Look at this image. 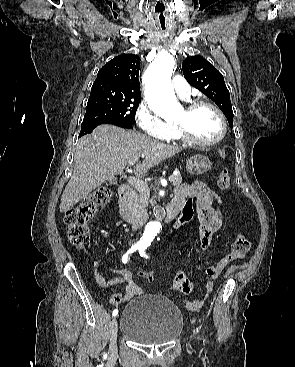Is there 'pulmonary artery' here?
<instances>
[{"instance_id":"e3ab8cb5","label":"pulmonary artery","mask_w":295,"mask_h":367,"mask_svg":"<svg viewBox=\"0 0 295 367\" xmlns=\"http://www.w3.org/2000/svg\"><path fill=\"white\" fill-rule=\"evenodd\" d=\"M173 88L177 95L182 99H188L190 96V86L182 76L173 78Z\"/></svg>"}]
</instances>
